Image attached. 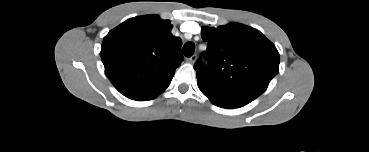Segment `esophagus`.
Masks as SVG:
<instances>
[{"instance_id": "34e87169", "label": "esophagus", "mask_w": 369, "mask_h": 152, "mask_svg": "<svg viewBox=\"0 0 369 152\" xmlns=\"http://www.w3.org/2000/svg\"><path fill=\"white\" fill-rule=\"evenodd\" d=\"M197 59L196 54L192 55L191 57L187 58V62L193 64Z\"/></svg>"}]
</instances>
